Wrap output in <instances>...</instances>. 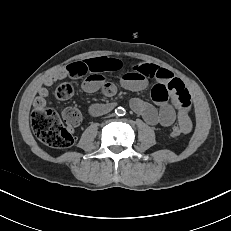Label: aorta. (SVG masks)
I'll use <instances>...</instances> for the list:
<instances>
[{
  "label": "aorta",
  "instance_id": "obj_1",
  "mask_svg": "<svg viewBox=\"0 0 231 231\" xmlns=\"http://www.w3.org/2000/svg\"><path fill=\"white\" fill-rule=\"evenodd\" d=\"M122 112L121 108H118L117 114H120Z\"/></svg>",
  "mask_w": 231,
  "mask_h": 231
}]
</instances>
